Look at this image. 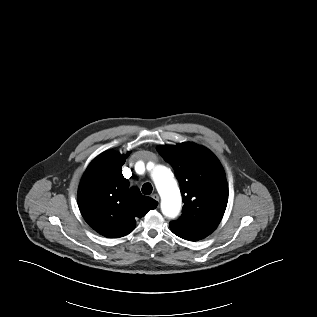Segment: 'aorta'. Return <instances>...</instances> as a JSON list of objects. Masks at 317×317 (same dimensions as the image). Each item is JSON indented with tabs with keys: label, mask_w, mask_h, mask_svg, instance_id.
<instances>
[{
	"label": "aorta",
	"mask_w": 317,
	"mask_h": 317,
	"mask_svg": "<svg viewBox=\"0 0 317 317\" xmlns=\"http://www.w3.org/2000/svg\"><path fill=\"white\" fill-rule=\"evenodd\" d=\"M149 175L161 195V210L168 218L176 217L181 210V194L171 168L154 163Z\"/></svg>",
	"instance_id": "aorta-1"
}]
</instances>
